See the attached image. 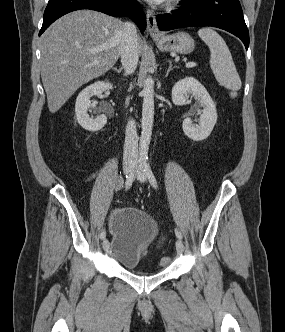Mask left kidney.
<instances>
[{
    "label": "left kidney",
    "instance_id": "5707ae66",
    "mask_svg": "<svg viewBox=\"0 0 285 332\" xmlns=\"http://www.w3.org/2000/svg\"><path fill=\"white\" fill-rule=\"evenodd\" d=\"M190 94L199 100L203 113L196 125L192 123L191 118H186L182 124L183 132L193 141H202L211 134L216 124V105L205 87L193 77H186L175 83L172 89V101L175 105H183Z\"/></svg>",
    "mask_w": 285,
    "mask_h": 332
}]
</instances>
